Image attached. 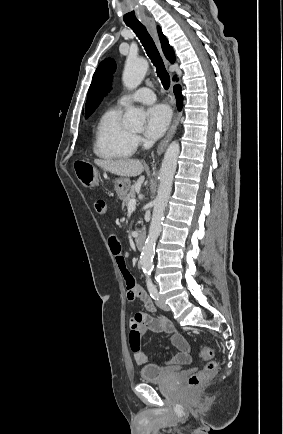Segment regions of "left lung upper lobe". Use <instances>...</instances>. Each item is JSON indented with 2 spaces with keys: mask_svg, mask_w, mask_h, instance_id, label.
Wrapping results in <instances>:
<instances>
[{
  "mask_svg": "<svg viewBox=\"0 0 283 434\" xmlns=\"http://www.w3.org/2000/svg\"><path fill=\"white\" fill-rule=\"evenodd\" d=\"M115 69V61L111 58H107L95 71L87 96L86 118L94 112L102 98L109 92L112 74L115 72Z\"/></svg>",
  "mask_w": 283,
  "mask_h": 434,
  "instance_id": "left-lung-upper-lobe-1",
  "label": "left lung upper lobe"
}]
</instances>
